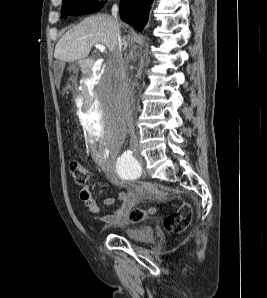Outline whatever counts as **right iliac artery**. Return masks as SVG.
<instances>
[{
	"label": "right iliac artery",
	"instance_id": "obj_1",
	"mask_svg": "<svg viewBox=\"0 0 267 298\" xmlns=\"http://www.w3.org/2000/svg\"><path fill=\"white\" fill-rule=\"evenodd\" d=\"M121 162L122 164H126L129 166H136L137 160L133 157L132 152L127 150L125 151L121 156Z\"/></svg>",
	"mask_w": 267,
	"mask_h": 298
}]
</instances>
